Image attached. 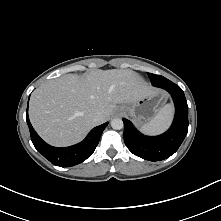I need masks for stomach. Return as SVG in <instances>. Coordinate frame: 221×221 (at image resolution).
<instances>
[{"mask_svg":"<svg viewBox=\"0 0 221 221\" xmlns=\"http://www.w3.org/2000/svg\"><path fill=\"white\" fill-rule=\"evenodd\" d=\"M166 96L161 91H154L144 95L130 104H123L118 107V111L132 117L133 121L142 126L151 121L160 111Z\"/></svg>","mask_w":221,"mask_h":221,"instance_id":"0dacf381","label":"stomach"}]
</instances>
